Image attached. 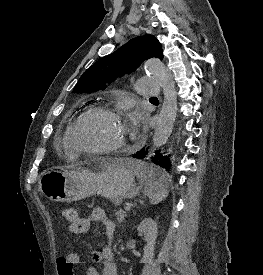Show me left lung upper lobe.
<instances>
[{"label":"left lung upper lobe","instance_id":"left-lung-upper-lobe-1","mask_svg":"<svg viewBox=\"0 0 263 275\" xmlns=\"http://www.w3.org/2000/svg\"><path fill=\"white\" fill-rule=\"evenodd\" d=\"M163 59L160 42L146 34L130 40L114 53L90 66L75 85L74 93H92L106 88L117 77L136 70L147 59Z\"/></svg>","mask_w":263,"mask_h":275}]
</instances>
